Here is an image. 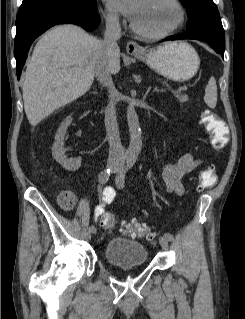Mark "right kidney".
<instances>
[{
    "instance_id": "ca27d5eb",
    "label": "right kidney",
    "mask_w": 245,
    "mask_h": 319,
    "mask_svg": "<svg viewBox=\"0 0 245 319\" xmlns=\"http://www.w3.org/2000/svg\"><path fill=\"white\" fill-rule=\"evenodd\" d=\"M72 118H66L58 128L56 135H55V142L52 146V155L53 158L61 164L63 168L68 171H76L81 166V158H67L65 155V148H64V137L68 126L71 124Z\"/></svg>"
}]
</instances>
